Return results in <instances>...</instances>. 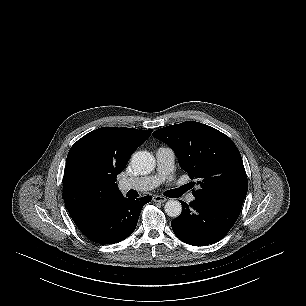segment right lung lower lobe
<instances>
[{
    "mask_svg": "<svg viewBox=\"0 0 306 306\" xmlns=\"http://www.w3.org/2000/svg\"><path fill=\"white\" fill-rule=\"evenodd\" d=\"M150 196L122 198L116 204L77 225L90 240L99 244H114L126 239L135 230L142 207Z\"/></svg>",
    "mask_w": 306,
    "mask_h": 306,
    "instance_id": "obj_1",
    "label": "right lung lower lobe"
}]
</instances>
